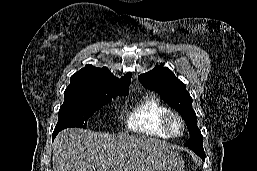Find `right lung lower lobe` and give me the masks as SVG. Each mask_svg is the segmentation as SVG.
<instances>
[{"label": "right lung lower lobe", "mask_w": 257, "mask_h": 171, "mask_svg": "<svg viewBox=\"0 0 257 171\" xmlns=\"http://www.w3.org/2000/svg\"><path fill=\"white\" fill-rule=\"evenodd\" d=\"M59 132H60L59 130H54L53 135H52V139H54L55 136H56Z\"/></svg>", "instance_id": "1"}]
</instances>
